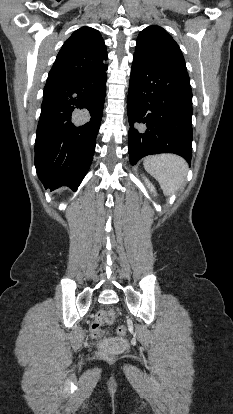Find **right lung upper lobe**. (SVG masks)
Here are the masks:
<instances>
[{
  "mask_svg": "<svg viewBox=\"0 0 233 414\" xmlns=\"http://www.w3.org/2000/svg\"><path fill=\"white\" fill-rule=\"evenodd\" d=\"M106 60V46L100 33L82 27L65 41L49 74L57 77L89 75L107 67Z\"/></svg>",
  "mask_w": 233,
  "mask_h": 414,
  "instance_id": "cb5924a9",
  "label": "right lung upper lobe"
}]
</instances>
